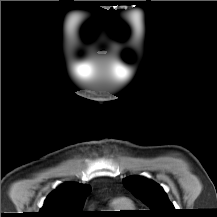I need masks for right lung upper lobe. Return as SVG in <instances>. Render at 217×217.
<instances>
[{"label":"right lung upper lobe","mask_w":217,"mask_h":217,"mask_svg":"<svg viewBox=\"0 0 217 217\" xmlns=\"http://www.w3.org/2000/svg\"><path fill=\"white\" fill-rule=\"evenodd\" d=\"M91 190L87 184L66 182L49 194L37 217H86L82 211L86 196Z\"/></svg>","instance_id":"obj_1"}]
</instances>
